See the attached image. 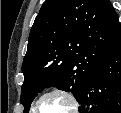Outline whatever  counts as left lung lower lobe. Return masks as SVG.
Segmentation results:
<instances>
[{"instance_id":"obj_1","label":"left lung lower lobe","mask_w":121,"mask_h":113,"mask_svg":"<svg viewBox=\"0 0 121 113\" xmlns=\"http://www.w3.org/2000/svg\"><path fill=\"white\" fill-rule=\"evenodd\" d=\"M80 113H121V27L78 98Z\"/></svg>"}]
</instances>
